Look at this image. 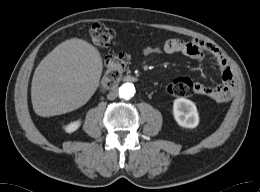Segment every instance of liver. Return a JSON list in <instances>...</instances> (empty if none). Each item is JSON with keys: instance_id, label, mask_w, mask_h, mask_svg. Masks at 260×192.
<instances>
[{"instance_id": "obj_1", "label": "liver", "mask_w": 260, "mask_h": 192, "mask_svg": "<svg viewBox=\"0 0 260 192\" xmlns=\"http://www.w3.org/2000/svg\"><path fill=\"white\" fill-rule=\"evenodd\" d=\"M103 71L99 51L83 39L56 46L36 67L31 84L35 113L65 114L85 105L99 86Z\"/></svg>"}]
</instances>
